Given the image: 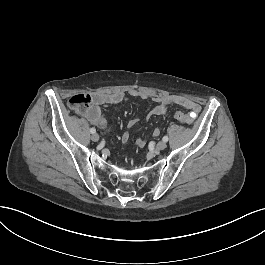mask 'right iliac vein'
<instances>
[{
  "instance_id": "right-iliac-vein-1",
  "label": "right iliac vein",
  "mask_w": 265,
  "mask_h": 265,
  "mask_svg": "<svg viewBox=\"0 0 265 265\" xmlns=\"http://www.w3.org/2000/svg\"><path fill=\"white\" fill-rule=\"evenodd\" d=\"M91 140L97 142L99 140V135L97 133L92 134Z\"/></svg>"
}]
</instances>
